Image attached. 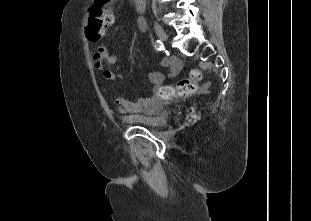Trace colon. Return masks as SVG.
<instances>
[{
  "label": "colon",
  "instance_id": "obj_1",
  "mask_svg": "<svg viewBox=\"0 0 311 221\" xmlns=\"http://www.w3.org/2000/svg\"><path fill=\"white\" fill-rule=\"evenodd\" d=\"M111 2L112 0H97L91 7V23L87 25L86 39H99L101 29L103 28L105 32L110 28L113 21ZM201 79L200 71L193 69L187 77L180 79L176 84L162 88L158 97L159 99L189 97L199 91ZM194 117L192 114L189 115L190 119H194Z\"/></svg>",
  "mask_w": 311,
  "mask_h": 221
}]
</instances>
